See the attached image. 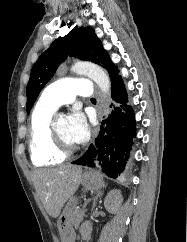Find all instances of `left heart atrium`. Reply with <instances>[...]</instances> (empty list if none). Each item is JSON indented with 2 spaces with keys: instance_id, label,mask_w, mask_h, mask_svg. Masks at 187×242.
<instances>
[{
  "instance_id": "39dd6f15",
  "label": "left heart atrium",
  "mask_w": 187,
  "mask_h": 242,
  "mask_svg": "<svg viewBox=\"0 0 187 242\" xmlns=\"http://www.w3.org/2000/svg\"><path fill=\"white\" fill-rule=\"evenodd\" d=\"M67 131L70 139L75 144L85 142L89 137V127L84 114L74 110L67 118Z\"/></svg>"
}]
</instances>
